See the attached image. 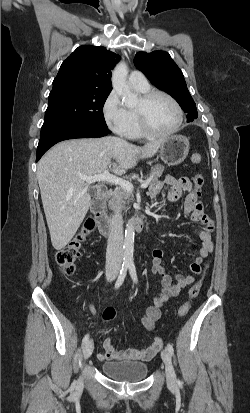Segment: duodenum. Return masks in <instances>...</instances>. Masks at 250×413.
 Returning <instances> with one entry per match:
<instances>
[{
    "label": "duodenum",
    "mask_w": 250,
    "mask_h": 413,
    "mask_svg": "<svg viewBox=\"0 0 250 413\" xmlns=\"http://www.w3.org/2000/svg\"><path fill=\"white\" fill-rule=\"evenodd\" d=\"M110 196V192L107 191L102 195L98 196L92 203L90 212L93 220L99 230V232L104 236H109L112 233L113 225L105 211L106 200ZM130 225L136 231H141L145 227L146 219L144 216H137L130 220Z\"/></svg>",
    "instance_id": "obj_1"
}]
</instances>
